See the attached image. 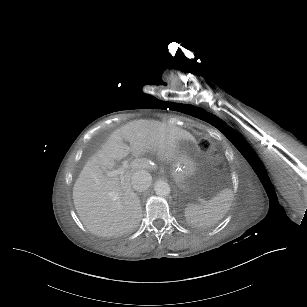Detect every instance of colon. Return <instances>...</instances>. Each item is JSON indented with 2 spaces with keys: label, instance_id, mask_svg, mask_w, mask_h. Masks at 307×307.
<instances>
[{
  "label": "colon",
  "instance_id": "1",
  "mask_svg": "<svg viewBox=\"0 0 307 307\" xmlns=\"http://www.w3.org/2000/svg\"><path fill=\"white\" fill-rule=\"evenodd\" d=\"M198 148L201 151H208L211 148V141L208 138H201L198 141Z\"/></svg>",
  "mask_w": 307,
  "mask_h": 307
}]
</instances>
